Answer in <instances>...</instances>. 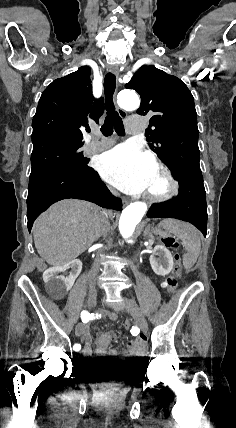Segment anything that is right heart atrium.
Returning <instances> with one entry per match:
<instances>
[{
    "label": "right heart atrium",
    "instance_id": "d8ad5b80",
    "mask_svg": "<svg viewBox=\"0 0 236 428\" xmlns=\"http://www.w3.org/2000/svg\"><path fill=\"white\" fill-rule=\"evenodd\" d=\"M109 191L113 193L112 189L109 188Z\"/></svg>",
    "mask_w": 236,
    "mask_h": 428
}]
</instances>
